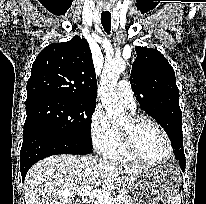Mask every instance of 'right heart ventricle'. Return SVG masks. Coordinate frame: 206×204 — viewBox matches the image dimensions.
Wrapping results in <instances>:
<instances>
[{
  "label": "right heart ventricle",
  "instance_id": "1",
  "mask_svg": "<svg viewBox=\"0 0 206 204\" xmlns=\"http://www.w3.org/2000/svg\"><path fill=\"white\" fill-rule=\"evenodd\" d=\"M102 155L109 160L119 161V162H131L138 163L140 160L135 158L127 150L120 128L117 125H113V137L108 146L102 151Z\"/></svg>",
  "mask_w": 206,
  "mask_h": 204
}]
</instances>
